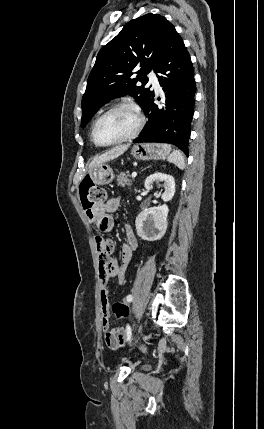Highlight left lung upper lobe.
<instances>
[{"mask_svg":"<svg viewBox=\"0 0 264 429\" xmlns=\"http://www.w3.org/2000/svg\"><path fill=\"white\" fill-rule=\"evenodd\" d=\"M174 26L159 14H146L128 22L98 53L82 98L81 127L101 106L113 98L133 96L142 109L153 91L145 88L146 75L155 69L167 37ZM139 69L137 77L132 70ZM141 82V86H137Z\"/></svg>","mask_w":264,"mask_h":429,"instance_id":"obj_1","label":"left lung upper lobe"}]
</instances>
